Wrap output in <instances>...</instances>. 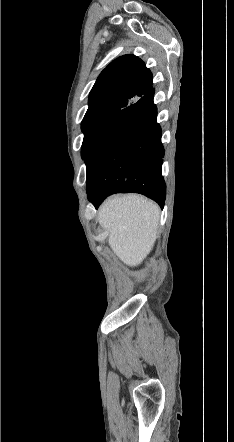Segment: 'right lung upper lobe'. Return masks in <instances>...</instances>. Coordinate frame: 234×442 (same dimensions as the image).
<instances>
[{"label": "right lung upper lobe", "instance_id": "obj_1", "mask_svg": "<svg viewBox=\"0 0 234 442\" xmlns=\"http://www.w3.org/2000/svg\"><path fill=\"white\" fill-rule=\"evenodd\" d=\"M152 73L134 55L113 60L99 75L90 94L84 118L118 113L152 89Z\"/></svg>", "mask_w": 234, "mask_h": 442}]
</instances>
